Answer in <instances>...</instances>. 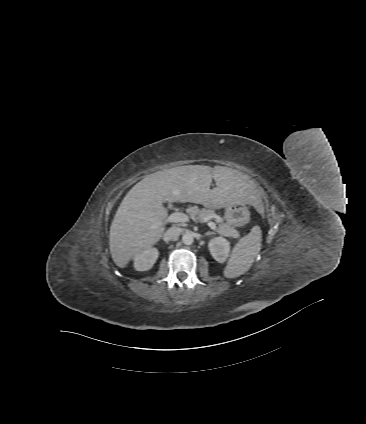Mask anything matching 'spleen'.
Returning <instances> with one entry per match:
<instances>
[{
  "label": "spleen",
  "instance_id": "obj_1",
  "mask_svg": "<svg viewBox=\"0 0 366 424\" xmlns=\"http://www.w3.org/2000/svg\"><path fill=\"white\" fill-rule=\"evenodd\" d=\"M262 232L258 225L234 246L224 270L226 278H236L246 273L261 250Z\"/></svg>",
  "mask_w": 366,
  "mask_h": 424
}]
</instances>
